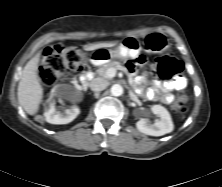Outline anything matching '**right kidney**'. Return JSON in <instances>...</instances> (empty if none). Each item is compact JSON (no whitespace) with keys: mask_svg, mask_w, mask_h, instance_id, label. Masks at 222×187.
I'll return each mask as SVG.
<instances>
[{"mask_svg":"<svg viewBox=\"0 0 222 187\" xmlns=\"http://www.w3.org/2000/svg\"><path fill=\"white\" fill-rule=\"evenodd\" d=\"M80 113V109L77 106H73L70 109L64 111H57L55 103L50 102L49 107L44 113L45 120L51 124H67L73 121Z\"/></svg>","mask_w":222,"mask_h":187,"instance_id":"right-kidney-1","label":"right kidney"}]
</instances>
